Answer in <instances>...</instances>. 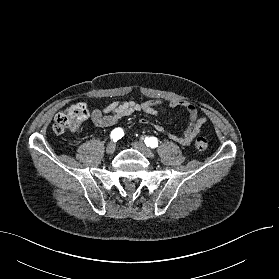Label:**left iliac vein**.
Segmentation results:
<instances>
[{"label":"left iliac vein","instance_id":"obj_1","mask_svg":"<svg viewBox=\"0 0 279 279\" xmlns=\"http://www.w3.org/2000/svg\"><path fill=\"white\" fill-rule=\"evenodd\" d=\"M132 146L147 158H152L154 156L153 152L141 142H133Z\"/></svg>","mask_w":279,"mask_h":279}]
</instances>
